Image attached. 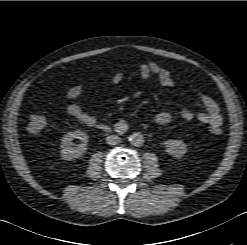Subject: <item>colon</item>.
I'll use <instances>...</instances> for the list:
<instances>
[{
  "label": "colon",
  "instance_id": "5ec220e1",
  "mask_svg": "<svg viewBox=\"0 0 247 245\" xmlns=\"http://www.w3.org/2000/svg\"><path fill=\"white\" fill-rule=\"evenodd\" d=\"M47 124L46 116L37 112L31 113L29 116L28 130L31 133H39ZM210 131L219 135L222 133V130L219 127L210 128Z\"/></svg>",
  "mask_w": 247,
  "mask_h": 245
}]
</instances>
